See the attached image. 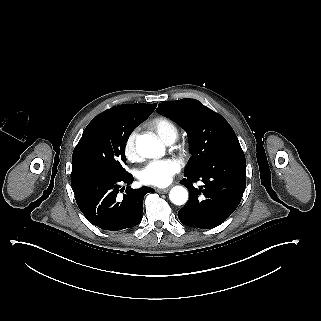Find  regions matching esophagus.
Instances as JSON below:
<instances>
[{
	"mask_svg": "<svg viewBox=\"0 0 321 321\" xmlns=\"http://www.w3.org/2000/svg\"><path fill=\"white\" fill-rule=\"evenodd\" d=\"M168 191H169V188H157L156 189V192L160 193V194L166 193Z\"/></svg>",
	"mask_w": 321,
	"mask_h": 321,
	"instance_id": "esophagus-1",
	"label": "esophagus"
}]
</instances>
